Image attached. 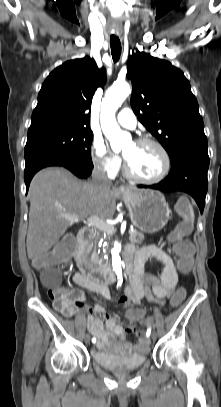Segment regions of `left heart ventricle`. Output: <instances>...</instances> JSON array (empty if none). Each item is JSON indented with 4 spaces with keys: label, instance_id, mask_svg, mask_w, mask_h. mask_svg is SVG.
<instances>
[{
    "label": "left heart ventricle",
    "instance_id": "b2bd125f",
    "mask_svg": "<svg viewBox=\"0 0 221 407\" xmlns=\"http://www.w3.org/2000/svg\"><path fill=\"white\" fill-rule=\"evenodd\" d=\"M133 170L145 178H156L164 170L165 161L162 153L153 145L129 143L123 150Z\"/></svg>",
    "mask_w": 221,
    "mask_h": 407
}]
</instances>
